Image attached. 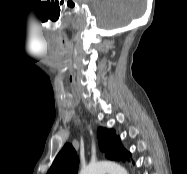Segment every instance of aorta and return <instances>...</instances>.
I'll list each match as a JSON object with an SVG mask.
<instances>
[{
    "label": "aorta",
    "mask_w": 187,
    "mask_h": 174,
    "mask_svg": "<svg viewBox=\"0 0 187 174\" xmlns=\"http://www.w3.org/2000/svg\"><path fill=\"white\" fill-rule=\"evenodd\" d=\"M79 174H128L126 169L114 162L90 163Z\"/></svg>",
    "instance_id": "obj_1"
}]
</instances>
